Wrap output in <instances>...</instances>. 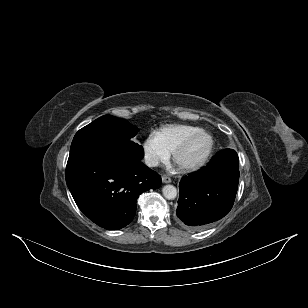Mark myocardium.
I'll list each match as a JSON object with an SVG mask.
<instances>
[{"label": "myocardium", "instance_id": "1", "mask_svg": "<svg viewBox=\"0 0 308 308\" xmlns=\"http://www.w3.org/2000/svg\"><path fill=\"white\" fill-rule=\"evenodd\" d=\"M205 135L209 137L210 144L206 151V153L203 155L201 159H199L196 162L193 163H182L180 161L181 156L188 150V148L191 146V144L199 137ZM215 148V138L214 136L207 130L200 129L194 133H192L190 136H188L173 152V161L178 166V168L181 171L190 172L195 171L203 167L208 160L210 159L213 151Z\"/></svg>", "mask_w": 308, "mask_h": 308}]
</instances>
